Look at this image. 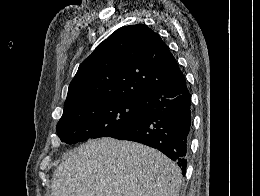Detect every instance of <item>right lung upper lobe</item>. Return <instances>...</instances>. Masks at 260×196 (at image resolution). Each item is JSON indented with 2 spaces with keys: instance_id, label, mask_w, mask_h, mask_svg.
<instances>
[{
  "instance_id": "1",
  "label": "right lung upper lobe",
  "mask_w": 260,
  "mask_h": 196,
  "mask_svg": "<svg viewBox=\"0 0 260 196\" xmlns=\"http://www.w3.org/2000/svg\"><path fill=\"white\" fill-rule=\"evenodd\" d=\"M182 75L158 33L144 24L124 26L80 64L64 107L107 95L139 100Z\"/></svg>"
}]
</instances>
